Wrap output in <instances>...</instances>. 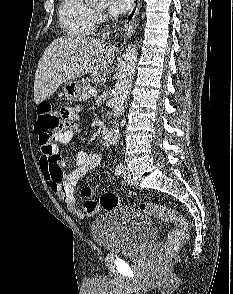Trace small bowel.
Segmentation results:
<instances>
[{
	"instance_id": "c3829d8e",
	"label": "small bowel",
	"mask_w": 233,
	"mask_h": 294,
	"mask_svg": "<svg viewBox=\"0 0 233 294\" xmlns=\"http://www.w3.org/2000/svg\"><path fill=\"white\" fill-rule=\"evenodd\" d=\"M61 118L60 129L66 130L57 133L54 141L66 145L72 140L74 133L78 130L79 111L75 108H62ZM41 153L40 167L42 173L56 196L78 218L94 216L99 211V205L92 200L94 189L92 187L82 189V196L85 198V201L82 209H79L75 199V188L78 181L85 174L100 164V153H90L85 150H80L75 156H62L60 149L55 143L51 145V149H42ZM45 154L55 156H47ZM67 161L73 162L67 163ZM65 168L73 169L65 173Z\"/></svg>"
}]
</instances>
